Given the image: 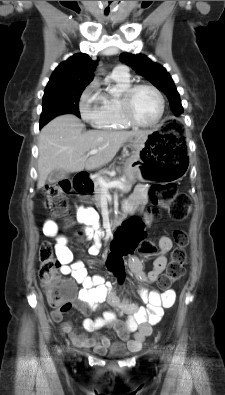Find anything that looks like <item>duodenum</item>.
<instances>
[{
	"instance_id": "1",
	"label": "duodenum",
	"mask_w": 225,
	"mask_h": 395,
	"mask_svg": "<svg viewBox=\"0 0 225 395\" xmlns=\"http://www.w3.org/2000/svg\"><path fill=\"white\" fill-rule=\"evenodd\" d=\"M74 187L78 192L86 193L92 189L93 183L88 174L79 172L74 177Z\"/></svg>"
}]
</instances>
